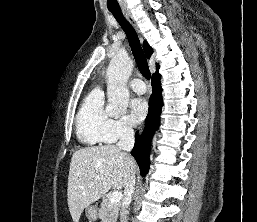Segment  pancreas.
Returning <instances> with one entry per match:
<instances>
[{
  "label": "pancreas",
  "mask_w": 257,
  "mask_h": 222,
  "mask_svg": "<svg viewBox=\"0 0 257 222\" xmlns=\"http://www.w3.org/2000/svg\"><path fill=\"white\" fill-rule=\"evenodd\" d=\"M120 207V203H110L107 197H103L99 208V218L102 222H116Z\"/></svg>",
  "instance_id": "pancreas-1"
}]
</instances>
